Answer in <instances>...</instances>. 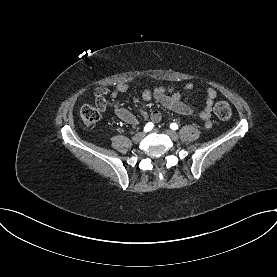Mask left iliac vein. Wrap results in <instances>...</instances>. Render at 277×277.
I'll return each instance as SVG.
<instances>
[{
	"instance_id": "left-iliac-vein-1",
	"label": "left iliac vein",
	"mask_w": 277,
	"mask_h": 277,
	"mask_svg": "<svg viewBox=\"0 0 277 277\" xmlns=\"http://www.w3.org/2000/svg\"><path fill=\"white\" fill-rule=\"evenodd\" d=\"M164 132H165V134H167L170 137L171 140L178 141L179 136L175 131L165 130Z\"/></svg>"
}]
</instances>
